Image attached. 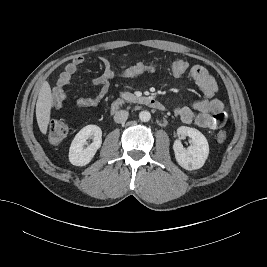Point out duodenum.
<instances>
[{"mask_svg": "<svg viewBox=\"0 0 267 267\" xmlns=\"http://www.w3.org/2000/svg\"><path fill=\"white\" fill-rule=\"evenodd\" d=\"M137 103L146 105L158 111L165 110V106L163 105V103H161L158 99L152 96L140 97L137 99ZM125 104H126L125 99H117L111 104L110 111L112 113H115L119 111Z\"/></svg>", "mask_w": 267, "mask_h": 267, "instance_id": "1", "label": "duodenum"}]
</instances>
